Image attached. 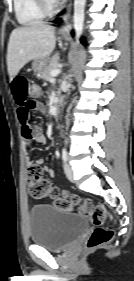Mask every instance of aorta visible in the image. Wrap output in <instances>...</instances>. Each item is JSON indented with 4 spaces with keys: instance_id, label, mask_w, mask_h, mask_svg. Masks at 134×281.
<instances>
[{
    "instance_id": "aorta-1",
    "label": "aorta",
    "mask_w": 134,
    "mask_h": 281,
    "mask_svg": "<svg viewBox=\"0 0 134 281\" xmlns=\"http://www.w3.org/2000/svg\"><path fill=\"white\" fill-rule=\"evenodd\" d=\"M85 4L86 0H74V30L77 43L83 32Z\"/></svg>"
}]
</instances>
